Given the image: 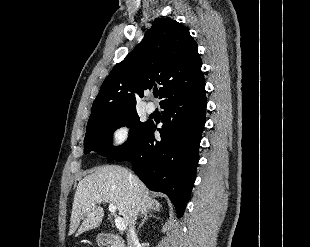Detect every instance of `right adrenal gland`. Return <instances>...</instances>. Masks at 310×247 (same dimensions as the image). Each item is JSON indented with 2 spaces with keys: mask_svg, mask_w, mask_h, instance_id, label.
Masks as SVG:
<instances>
[{
  "mask_svg": "<svg viewBox=\"0 0 310 247\" xmlns=\"http://www.w3.org/2000/svg\"><path fill=\"white\" fill-rule=\"evenodd\" d=\"M155 217L154 215H152V214H149V215H145L144 217H143V219L141 220V223L139 224V227H138V229H140L144 224H145V222L148 220V218L149 217Z\"/></svg>",
  "mask_w": 310,
  "mask_h": 247,
  "instance_id": "obj_1",
  "label": "right adrenal gland"
}]
</instances>
